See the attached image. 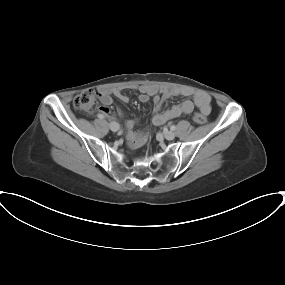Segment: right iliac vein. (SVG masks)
Segmentation results:
<instances>
[{
  "label": "right iliac vein",
  "mask_w": 285,
  "mask_h": 285,
  "mask_svg": "<svg viewBox=\"0 0 285 285\" xmlns=\"http://www.w3.org/2000/svg\"><path fill=\"white\" fill-rule=\"evenodd\" d=\"M110 129L113 131V132H117L119 129H120V126L118 123L116 122H111L110 123Z\"/></svg>",
  "instance_id": "1"
}]
</instances>
